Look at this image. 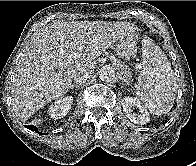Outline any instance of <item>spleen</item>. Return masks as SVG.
<instances>
[{
    "mask_svg": "<svg viewBox=\"0 0 196 166\" xmlns=\"http://www.w3.org/2000/svg\"><path fill=\"white\" fill-rule=\"evenodd\" d=\"M142 48L144 67L136 84L137 96L150 113L166 114L174 105L176 77L167 57L152 39H143Z\"/></svg>",
    "mask_w": 196,
    "mask_h": 166,
    "instance_id": "1",
    "label": "spleen"
}]
</instances>
